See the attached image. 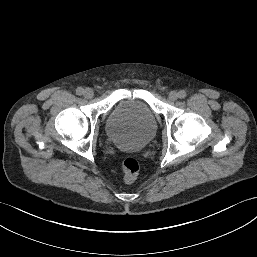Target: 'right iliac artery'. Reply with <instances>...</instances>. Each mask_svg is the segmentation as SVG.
Wrapping results in <instances>:
<instances>
[{
    "label": "right iliac artery",
    "mask_w": 257,
    "mask_h": 257,
    "mask_svg": "<svg viewBox=\"0 0 257 257\" xmlns=\"http://www.w3.org/2000/svg\"><path fill=\"white\" fill-rule=\"evenodd\" d=\"M83 93H84V89L83 88L79 87V88L76 89V94L77 95H82Z\"/></svg>",
    "instance_id": "obj_1"
}]
</instances>
